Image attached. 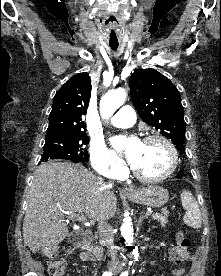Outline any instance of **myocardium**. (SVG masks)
I'll return each instance as SVG.
<instances>
[{
	"label": "myocardium",
	"mask_w": 221,
	"mask_h": 276,
	"mask_svg": "<svg viewBox=\"0 0 221 276\" xmlns=\"http://www.w3.org/2000/svg\"><path fill=\"white\" fill-rule=\"evenodd\" d=\"M154 140L160 141L166 146L170 155V163L167 170L157 176L144 175L134 165H132L131 169L134 176L139 180L147 183H156L167 179L175 172L178 165V152L174 144L166 136L161 134H149L146 137H144L143 142H149Z\"/></svg>",
	"instance_id": "obj_1"
}]
</instances>
